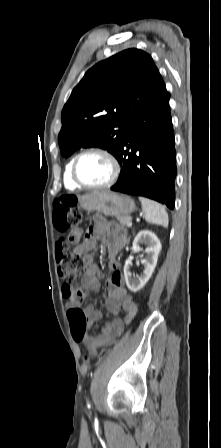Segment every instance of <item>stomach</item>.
I'll return each instance as SVG.
<instances>
[{"label": "stomach", "instance_id": "obj_1", "mask_svg": "<svg viewBox=\"0 0 221 448\" xmlns=\"http://www.w3.org/2000/svg\"><path fill=\"white\" fill-rule=\"evenodd\" d=\"M79 202L85 210L96 211L106 216H129L136 210L132 198L110 191L82 196Z\"/></svg>", "mask_w": 221, "mask_h": 448}]
</instances>
